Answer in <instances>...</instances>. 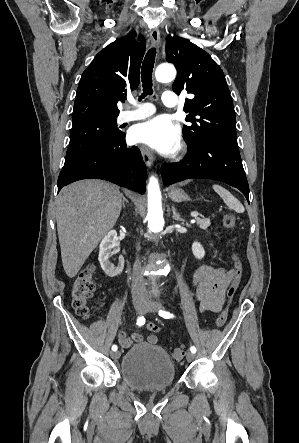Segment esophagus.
I'll list each match as a JSON object with an SVG mask.
<instances>
[{"label": "esophagus", "mask_w": 299, "mask_h": 443, "mask_svg": "<svg viewBox=\"0 0 299 443\" xmlns=\"http://www.w3.org/2000/svg\"><path fill=\"white\" fill-rule=\"evenodd\" d=\"M150 39H151V43H152L153 46H155V47L159 46V43H160V32H159L158 29L154 28V29L151 30V32H150ZM140 150H141V154H142V157H143V160H144L145 164L148 167H151L153 165V162H154V157H153V154H152L151 150L148 147H146V146H141Z\"/></svg>", "instance_id": "obj_1"}]
</instances>
